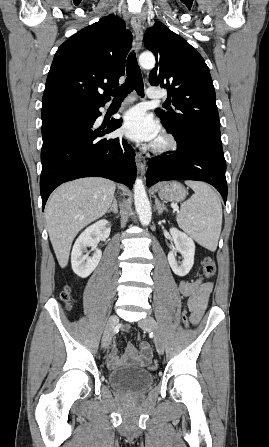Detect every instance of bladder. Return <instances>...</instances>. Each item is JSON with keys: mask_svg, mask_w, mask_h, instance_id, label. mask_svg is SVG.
<instances>
[{"mask_svg": "<svg viewBox=\"0 0 269 447\" xmlns=\"http://www.w3.org/2000/svg\"><path fill=\"white\" fill-rule=\"evenodd\" d=\"M108 381L111 387L131 396H137L153 385V373L148 370L126 366L109 371Z\"/></svg>", "mask_w": 269, "mask_h": 447, "instance_id": "31cf9c89", "label": "bladder"}]
</instances>
